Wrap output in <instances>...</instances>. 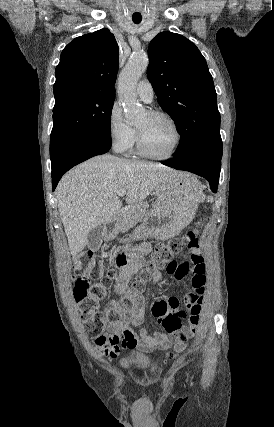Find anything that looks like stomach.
I'll return each mask as SVG.
<instances>
[{
	"instance_id": "0dacf381",
	"label": "stomach",
	"mask_w": 274,
	"mask_h": 427,
	"mask_svg": "<svg viewBox=\"0 0 274 427\" xmlns=\"http://www.w3.org/2000/svg\"><path fill=\"white\" fill-rule=\"evenodd\" d=\"M195 178L189 174H178L175 180H163L157 188V202L154 210L148 212L143 223L138 225L132 239L158 237L171 239L190 223L202 196V188H193ZM198 194H201L200 198ZM117 231L108 233L107 239H113Z\"/></svg>"
}]
</instances>
